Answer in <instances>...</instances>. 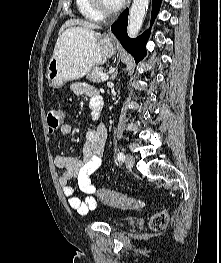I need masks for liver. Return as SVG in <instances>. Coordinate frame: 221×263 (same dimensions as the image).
Listing matches in <instances>:
<instances>
[{"mask_svg": "<svg viewBox=\"0 0 221 263\" xmlns=\"http://www.w3.org/2000/svg\"><path fill=\"white\" fill-rule=\"evenodd\" d=\"M77 26V27H73ZM67 28H80L93 31L94 29H99L100 26L94 23H90L88 21L80 20V19H70L67 20L59 30V34L63 33Z\"/></svg>", "mask_w": 221, "mask_h": 263, "instance_id": "liver-1", "label": "liver"}]
</instances>
